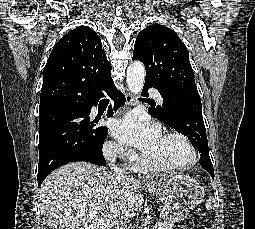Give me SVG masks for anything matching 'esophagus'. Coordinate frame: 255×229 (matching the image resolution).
Returning <instances> with one entry per match:
<instances>
[{
	"label": "esophagus",
	"mask_w": 255,
	"mask_h": 229,
	"mask_svg": "<svg viewBox=\"0 0 255 229\" xmlns=\"http://www.w3.org/2000/svg\"><path fill=\"white\" fill-rule=\"evenodd\" d=\"M125 98H126V104H127L128 106H131V105H133V104L135 103V97L132 95L131 92L127 91V92H126V95H125ZM144 184H145V185H151V184H150L149 182H147V181H144Z\"/></svg>",
	"instance_id": "34e87169"
}]
</instances>
